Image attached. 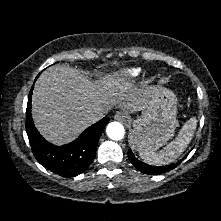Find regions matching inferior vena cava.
Here are the masks:
<instances>
[{
  "mask_svg": "<svg viewBox=\"0 0 221 221\" xmlns=\"http://www.w3.org/2000/svg\"><path fill=\"white\" fill-rule=\"evenodd\" d=\"M104 117V113L90 114L86 117V122L88 124H93L98 122Z\"/></svg>",
  "mask_w": 221,
  "mask_h": 221,
  "instance_id": "1",
  "label": "inferior vena cava"
}]
</instances>
